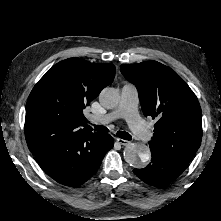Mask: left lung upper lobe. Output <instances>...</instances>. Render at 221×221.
I'll return each instance as SVG.
<instances>
[{"mask_svg": "<svg viewBox=\"0 0 221 221\" xmlns=\"http://www.w3.org/2000/svg\"><path fill=\"white\" fill-rule=\"evenodd\" d=\"M121 72L136 85L144 115L157 120L150 149L187 166L202 139V113L193 91L157 61L122 64Z\"/></svg>", "mask_w": 221, "mask_h": 221, "instance_id": "left-lung-upper-lobe-1", "label": "left lung upper lobe"}]
</instances>
